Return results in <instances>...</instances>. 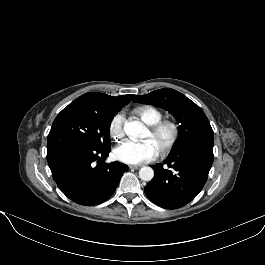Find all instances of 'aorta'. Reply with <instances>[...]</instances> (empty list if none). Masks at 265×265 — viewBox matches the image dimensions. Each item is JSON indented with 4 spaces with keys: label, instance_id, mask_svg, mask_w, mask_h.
Segmentation results:
<instances>
[{
    "label": "aorta",
    "instance_id": "1",
    "mask_svg": "<svg viewBox=\"0 0 265 265\" xmlns=\"http://www.w3.org/2000/svg\"><path fill=\"white\" fill-rule=\"evenodd\" d=\"M145 126L140 121H128L124 124V132L132 139L142 138L145 133ZM154 177V171L149 166H144L139 170V178L143 181H151Z\"/></svg>",
    "mask_w": 265,
    "mask_h": 265
}]
</instances>
